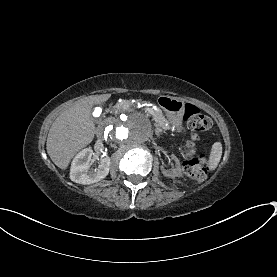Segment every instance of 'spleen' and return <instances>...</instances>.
I'll return each mask as SVG.
<instances>
[{
    "mask_svg": "<svg viewBox=\"0 0 277 277\" xmlns=\"http://www.w3.org/2000/svg\"><path fill=\"white\" fill-rule=\"evenodd\" d=\"M222 152V144L220 142L213 143V145L211 146V151L207 163L208 169L210 171H215L218 167V164L221 160Z\"/></svg>",
    "mask_w": 277,
    "mask_h": 277,
    "instance_id": "spleen-1",
    "label": "spleen"
}]
</instances>
